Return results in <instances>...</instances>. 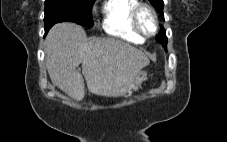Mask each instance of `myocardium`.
I'll use <instances>...</instances> for the list:
<instances>
[{"label": "myocardium", "instance_id": "myocardium-1", "mask_svg": "<svg viewBox=\"0 0 227 142\" xmlns=\"http://www.w3.org/2000/svg\"><path fill=\"white\" fill-rule=\"evenodd\" d=\"M143 12H148L152 16L153 23H154V31L152 33H147L142 27L141 24V15ZM132 23L133 27L136 30L138 34H140L143 38H150L156 35V33L159 30V21H158V15L155 11V9L148 5L141 3L139 4L132 12Z\"/></svg>", "mask_w": 227, "mask_h": 142}]
</instances>
